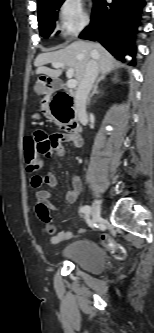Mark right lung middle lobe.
I'll list each match as a JSON object with an SVG mask.
<instances>
[{"instance_id": "right-lung-middle-lobe-1", "label": "right lung middle lobe", "mask_w": 154, "mask_h": 333, "mask_svg": "<svg viewBox=\"0 0 154 333\" xmlns=\"http://www.w3.org/2000/svg\"><path fill=\"white\" fill-rule=\"evenodd\" d=\"M64 0L38 1V21L40 34L47 38L55 28L56 10L60 8Z\"/></svg>"}]
</instances>
